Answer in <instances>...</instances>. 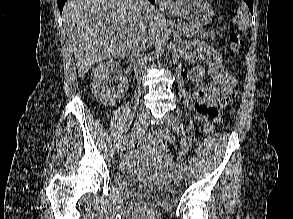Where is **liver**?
<instances>
[{
    "instance_id": "obj_1",
    "label": "liver",
    "mask_w": 293,
    "mask_h": 219,
    "mask_svg": "<svg viewBox=\"0 0 293 219\" xmlns=\"http://www.w3.org/2000/svg\"><path fill=\"white\" fill-rule=\"evenodd\" d=\"M137 10V0H67L63 21L80 77L99 61L130 53ZM152 11L150 4L140 9L146 23Z\"/></svg>"
}]
</instances>
